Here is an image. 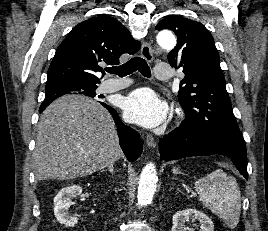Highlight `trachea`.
<instances>
[{"mask_svg": "<svg viewBox=\"0 0 268 231\" xmlns=\"http://www.w3.org/2000/svg\"><path fill=\"white\" fill-rule=\"evenodd\" d=\"M138 70L143 76L151 77V71L147 62L141 57H134L125 64L118 67L107 68L106 71L111 74H116L119 77H124L126 75L132 74Z\"/></svg>", "mask_w": 268, "mask_h": 231, "instance_id": "trachea-1", "label": "trachea"}]
</instances>
